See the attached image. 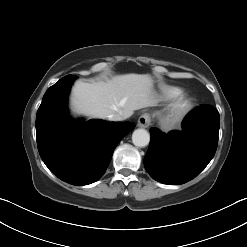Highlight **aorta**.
I'll return each instance as SVG.
<instances>
[{
    "label": "aorta",
    "mask_w": 247,
    "mask_h": 247,
    "mask_svg": "<svg viewBox=\"0 0 247 247\" xmlns=\"http://www.w3.org/2000/svg\"><path fill=\"white\" fill-rule=\"evenodd\" d=\"M150 135L145 129H137L132 134V142L137 147H145L149 144Z\"/></svg>",
    "instance_id": "762f6f07"
}]
</instances>
